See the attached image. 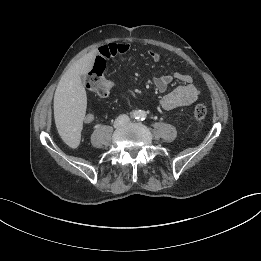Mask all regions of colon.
I'll list each match as a JSON object with an SVG mask.
<instances>
[{
	"label": "colon",
	"mask_w": 261,
	"mask_h": 261,
	"mask_svg": "<svg viewBox=\"0 0 261 261\" xmlns=\"http://www.w3.org/2000/svg\"><path fill=\"white\" fill-rule=\"evenodd\" d=\"M105 70V64L101 61L94 63L93 68L86 80V87L89 92L104 97L111 93V89L104 78L103 73ZM207 115V108L204 104L196 105L194 109V118L200 123Z\"/></svg>",
	"instance_id": "5ec220e1"
}]
</instances>
